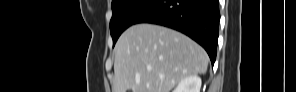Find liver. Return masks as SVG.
I'll use <instances>...</instances> for the list:
<instances>
[{"mask_svg": "<svg viewBox=\"0 0 296 92\" xmlns=\"http://www.w3.org/2000/svg\"><path fill=\"white\" fill-rule=\"evenodd\" d=\"M114 54V92H170L184 78L205 74L209 61L189 37L146 23L124 31Z\"/></svg>", "mask_w": 296, "mask_h": 92, "instance_id": "6515ba94", "label": "liver"}]
</instances>
